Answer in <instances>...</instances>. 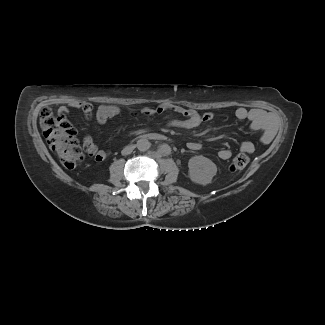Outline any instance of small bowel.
Instances as JSON below:
<instances>
[{
	"label": "small bowel",
	"mask_w": 325,
	"mask_h": 325,
	"mask_svg": "<svg viewBox=\"0 0 325 325\" xmlns=\"http://www.w3.org/2000/svg\"><path fill=\"white\" fill-rule=\"evenodd\" d=\"M70 109H80L83 111L87 118L93 115V106L88 102H74L67 106H62L57 110L55 120L59 126L64 128L65 132L77 136L80 133L78 127L68 117ZM173 112L183 116V119H170L166 125L178 129H194L203 123L210 122L214 115L211 112L200 113L192 108H187L178 104L162 103L157 108H144L143 113L148 116L159 114L162 112ZM120 112L119 108L114 105H101L95 112L96 120L99 124H105L109 119L115 117ZM235 116L239 120H248L254 130L261 131V141L267 143L274 135V126L272 117L261 109H247L245 107H238L235 110ZM83 146L90 157L95 161L102 162L106 160L110 154L108 150L99 149L94 143L91 136H85L83 139ZM190 150L197 151L201 148L198 141H190L187 144ZM240 151L245 153H253L256 150V145L250 141L241 143ZM232 153L229 149H222L219 151V157L227 160L231 157Z\"/></svg>",
	"instance_id": "small-bowel-1"
}]
</instances>
